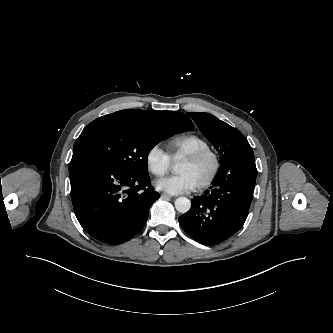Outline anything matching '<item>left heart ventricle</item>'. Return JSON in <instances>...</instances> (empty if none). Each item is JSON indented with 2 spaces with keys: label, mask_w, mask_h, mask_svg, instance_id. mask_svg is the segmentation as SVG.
I'll use <instances>...</instances> for the list:
<instances>
[{
  "label": "left heart ventricle",
  "mask_w": 333,
  "mask_h": 333,
  "mask_svg": "<svg viewBox=\"0 0 333 333\" xmlns=\"http://www.w3.org/2000/svg\"><path fill=\"white\" fill-rule=\"evenodd\" d=\"M210 168V160H204L199 163H189L183 160L177 168V173L190 176L196 185H198L207 177Z\"/></svg>",
  "instance_id": "1"
}]
</instances>
